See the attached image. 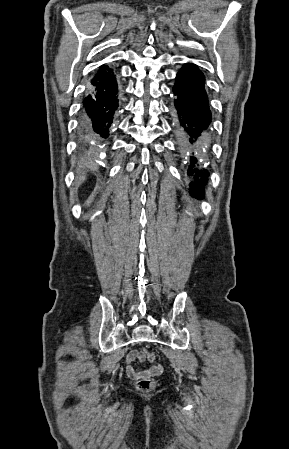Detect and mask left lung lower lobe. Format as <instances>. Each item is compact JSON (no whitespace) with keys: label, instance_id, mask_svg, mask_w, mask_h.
Here are the masks:
<instances>
[{"label":"left lung lower lobe","instance_id":"0a47b994","mask_svg":"<svg viewBox=\"0 0 289 449\" xmlns=\"http://www.w3.org/2000/svg\"><path fill=\"white\" fill-rule=\"evenodd\" d=\"M204 84L203 73L194 64L187 63L177 74L173 87L178 118L176 135L182 150L194 151L187 174L192 178L190 194L197 199H203L209 177V172L199 166L197 157L207 142L205 132L212 120Z\"/></svg>","mask_w":289,"mask_h":449}]
</instances>
